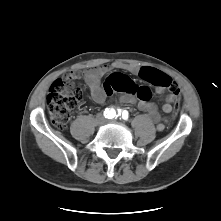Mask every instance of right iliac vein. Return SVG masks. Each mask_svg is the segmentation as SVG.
<instances>
[{"instance_id": "63e3f726", "label": "right iliac vein", "mask_w": 221, "mask_h": 221, "mask_svg": "<svg viewBox=\"0 0 221 221\" xmlns=\"http://www.w3.org/2000/svg\"><path fill=\"white\" fill-rule=\"evenodd\" d=\"M96 120H97V123L101 124V123H103L105 121V118H104V116L102 114H99L97 116Z\"/></svg>"}]
</instances>
